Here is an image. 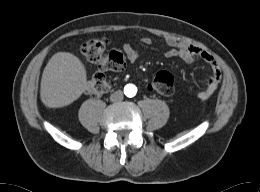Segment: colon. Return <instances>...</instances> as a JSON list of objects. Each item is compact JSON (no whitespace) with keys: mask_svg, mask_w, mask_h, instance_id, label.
Returning a JSON list of instances; mask_svg holds the SVG:
<instances>
[{"mask_svg":"<svg viewBox=\"0 0 260 192\" xmlns=\"http://www.w3.org/2000/svg\"><path fill=\"white\" fill-rule=\"evenodd\" d=\"M106 38H92L81 45V53L88 62L95 65L99 72L87 83L86 92L92 97H100L112 88L105 71H121L125 67V58L118 51L106 52ZM148 90L161 96H170L174 92V78L167 71L158 72L148 83Z\"/></svg>","mask_w":260,"mask_h":192,"instance_id":"colon-1","label":"colon"}]
</instances>
